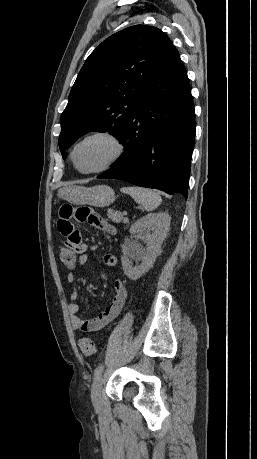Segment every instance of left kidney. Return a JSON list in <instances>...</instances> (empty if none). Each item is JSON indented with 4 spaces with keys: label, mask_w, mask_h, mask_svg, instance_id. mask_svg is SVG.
Here are the masks:
<instances>
[{
    "label": "left kidney",
    "mask_w": 257,
    "mask_h": 459,
    "mask_svg": "<svg viewBox=\"0 0 257 459\" xmlns=\"http://www.w3.org/2000/svg\"><path fill=\"white\" fill-rule=\"evenodd\" d=\"M168 213H150L136 221L130 228V233L139 234L146 239V247L128 241L123 249L121 258L123 270L131 280H137L154 264L161 253V245L170 227ZM131 259H139L141 265L133 267Z\"/></svg>",
    "instance_id": "obj_1"
}]
</instances>
